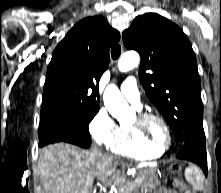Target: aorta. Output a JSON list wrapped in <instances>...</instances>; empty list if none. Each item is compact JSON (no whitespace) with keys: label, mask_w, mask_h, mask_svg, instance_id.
I'll use <instances>...</instances> for the list:
<instances>
[{"label":"aorta","mask_w":221,"mask_h":193,"mask_svg":"<svg viewBox=\"0 0 221 193\" xmlns=\"http://www.w3.org/2000/svg\"><path fill=\"white\" fill-rule=\"evenodd\" d=\"M140 57L137 52H126L118 61V69L127 72L139 65ZM104 105L109 113L119 121L131 119L134 115L133 109L128 105L118 87L110 84L103 95Z\"/></svg>","instance_id":"762f6f07"}]
</instances>
